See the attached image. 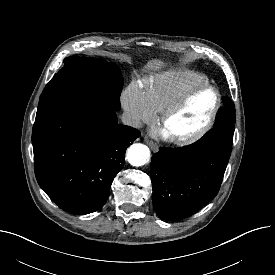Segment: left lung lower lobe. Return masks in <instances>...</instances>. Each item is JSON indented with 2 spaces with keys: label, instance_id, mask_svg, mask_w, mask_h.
Segmentation results:
<instances>
[{
  "label": "left lung lower lobe",
  "instance_id": "left-lung-lower-lobe-1",
  "mask_svg": "<svg viewBox=\"0 0 275 275\" xmlns=\"http://www.w3.org/2000/svg\"><path fill=\"white\" fill-rule=\"evenodd\" d=\"M223 107L216 121L225 118ZM234 129L214 127L197 142L160 147L151 162L153 206L159 218L182 220L198 212L218 193L231 155Z\"/></svg>",
  "mask_w": 275,
  "mask_h": 275
}]
</instances>
